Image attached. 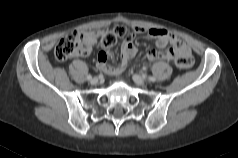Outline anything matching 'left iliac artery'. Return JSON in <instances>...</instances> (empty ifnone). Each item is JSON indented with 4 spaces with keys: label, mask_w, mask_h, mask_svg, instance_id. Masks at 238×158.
Listing matches in <instances>:
<instances>
[{
    "label": "left iliac artery",
    "mask_w": 238,
    "mask_h": 158,
    "mask_svg": "<svg viewBox=\"0 0 238 158\" xmlns=\"http://www.w3.org/2000/svg\"><path fill=\"white\" fill-rule=\"evenodd\" d=\"M148 80L154 82L156 79L154 77H152V76H149Z\"/></svg>",
    "instance_id": "1"
}]
</instances>
